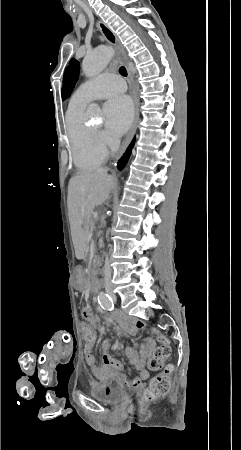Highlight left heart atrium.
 <instances>
[{
  "label": "left heart atrium",
  "instance_id": "left-heart-atrium-1",
  "mask_svg": "<svg viewBox=\"0 0 241 450\" xmlns=\"http://www.w3.org/2000/svg\"><path fill=\"white\" fill-rule=\"evenodd\" d=\"M108 115L107 127L116 136L124 134L134 119V106L127 95H119L114 102L106 104Z\"/></svg>",
  "mask_w": 241,
  "mask_h": 450
}]
</instances>
